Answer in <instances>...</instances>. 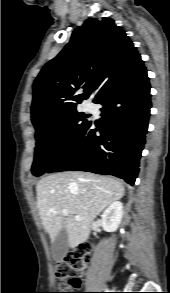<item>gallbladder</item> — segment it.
Segmentation results:
<instances>
[{
  "mask_svg": "<svg viewBox=\"0 0 170 293\" xmlns=\"http://www.w3.org/2000/svg\"><path fill=\"white\" fill-rule=\"evenodd\" d=\"M68 234L66 229H62L51 243V254L56 262H61L68 252Z\"/></svg>",
  "mask_w": 170,
  "mask_h": 293,
  "instance_id": "1",
  "label": "gallbladder"
}]
</instances>
